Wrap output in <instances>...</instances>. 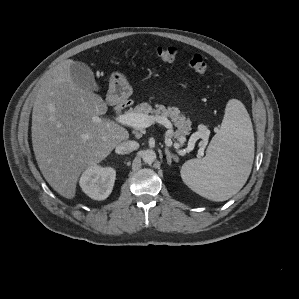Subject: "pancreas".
Returning a JSON list of instances; mask_svg holds the SVG:
<instances>
[{
	"label": "pancreas",
	"mask_w": 299,
	"mask_h": 299,
	"mask_svg": "<svg viewBox=\"0 0 299 299\" xmlns=\"http://www.w3.org/2000/svg\"><path fill=\"white\" fill-rule=\"evenodd\" d=\"M129 112L145 115L154 114L155 116L170 118L176 127V130L171 133L170 137L180 141L181 144L185 141L184 136L188 135L191 130V121L187 120L176 107L166 108L164 105L156 104L155 108H153L149 103L143 102Z\"/></svg>",
	"instance_id": "obj_1"
}]
</instances>
